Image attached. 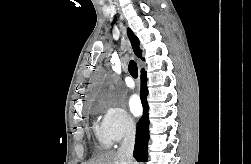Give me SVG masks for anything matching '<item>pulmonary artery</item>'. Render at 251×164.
Segmentation results:
<instances>
[{
    "label": "pulmonary artery",
    "instance_id": "pulmonary-artery-1",
    "mask_svg": "<svg viewBox=\"0 0 251 164\" xmlns=\"http://www.w3.org/2000/svg\"><path fill=\"white\" fill-rule=\"evenodd\" d=\"M125 83L129 88H133L135 86V83L130 76L126 77Z\"/></svg>",
    "mask_w": 251,
    "mask_h": 164
}]
</instances>
